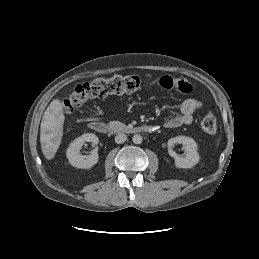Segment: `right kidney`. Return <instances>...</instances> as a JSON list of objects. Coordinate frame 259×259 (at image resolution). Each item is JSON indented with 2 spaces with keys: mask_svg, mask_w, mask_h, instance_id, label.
<instances>
[{
  "mask_svg": "<svg viewBox=\"0 0 259 259\" xmlns=\"http://www.w3.org/2000/svg\"><path fill=\"white\" fill-rule=\"evenodd\" d=\"M85 142H92L97 145L99 142L98 137L92 133H86L76 138L68 147L66 156L73 167L80 169H89L93 167L99 159L98 149L95 148L90 155L80 154V150Z\"/></svg>",
  "mask_w": 259,
  "mask_h": 259,
  "instance_id": "ca27d5eb",
  "label": "right kidney"
}]
</instances>
